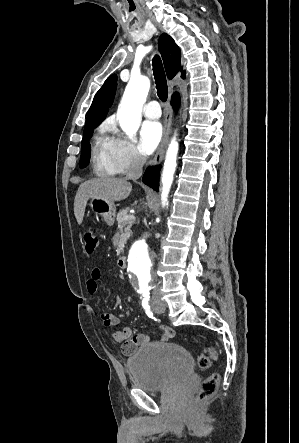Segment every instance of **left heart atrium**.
I'll return each mask as SVG.
<instances>
[{
  "label": "left heart atrium",
  "mask_w": 299,
  "mask_h": 443,
  "mask_svg": "<svg viewBox=\"0 0 299 443\" xmlns=\"http://www.w3.org/2000/svg\"><path fill=\"white\" fill-rule=\"evenodd\" d=\"M162 125L158 121H146L140 129V148L144 154H151L162 138Z\"/></svg>",
  "instance_id": "39dd6f15"
}]
</instances>
